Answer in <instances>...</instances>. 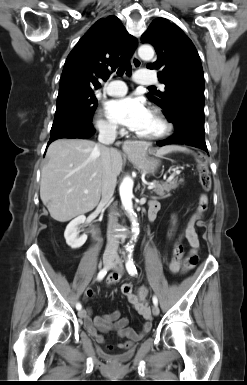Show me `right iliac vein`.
I'll list each match as a JSON object with an SVG mask.
<instances>
[{"label": "right iliac vein", "mask_w": 247, "mask_h": 385, "mask_svg": "<svg viewBox=\"0 0 247 385\" xmlns=\"http://www.w3.org/2000/svg\"><path fill=\"white\" fill-rule=\"evenodd\" d=\"M112 262H113V258H111V257H106V258L103 259V264H104V267H105V268L110 267L111 264H112ZM78 316H79V318H81V319L84 318V317L86 316V311H85V309L80 310V311L78 312Z\"/></svg>", "instance_id": "right-iliac-vein-1"}]
</instances>
